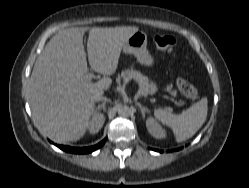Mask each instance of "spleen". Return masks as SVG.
<instances>
[{
    "label": "spleen",
    "mask_w": 249,
    "mask_h": 188,
    "mask_svg": "<svg viewBox=\"0 0 249 188\" xmlns=\"http://www.w3.org/2000/svg\"><path fill=\"white\" fill-rule=\"evenodd\" d=\"M154 116L173 130L177 142H182L191 138L204 124L207 117V99L202 98L180 115L158 109L154 111Z\"/></svg>",
    "instance_id": "obj_1"
}]
</instances>
